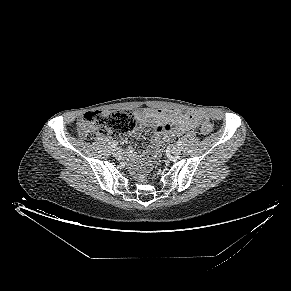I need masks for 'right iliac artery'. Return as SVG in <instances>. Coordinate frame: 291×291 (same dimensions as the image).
Returning a JSON list of instances; mask_svg holds the SVG:
<instances>
[{
	"label": "right iliac artery",
	"mask_w": 291,
	"mask_h": 291,
	"mask_svg": "<svg viewBox=\"0 0 291 291\" xmlns=\"http://www.w3.org/2000/svg\"><path fill=\"white\" fill-rule=\"evenodd\" d=\"M111 147L112 148H116V144L115 143H112Z\"/></svg>",
	"instance_id": "obj_1"
}]
</instances>
